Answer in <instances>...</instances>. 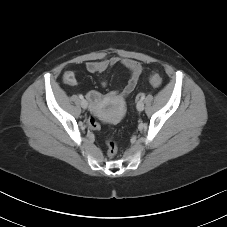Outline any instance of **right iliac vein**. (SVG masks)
Segmentation results:
<instances>
[{
  "label": "right iliac vein",
  "mask_w": 227,
  "mask_h": 227,
  "mask_svg": "<svg viewBox=\"0 0 227 227\" xmlns=\"http://www.w3.org/2000/svg\"><path fill=\"white\" fill-rule=\"evenodd\" d=\"M81 107L83 108V109H86L87 107H88V102L86 101V100H82L81 101Z\"/></svg>",
  "instance_id": "obj_1"
}]
</instances>
